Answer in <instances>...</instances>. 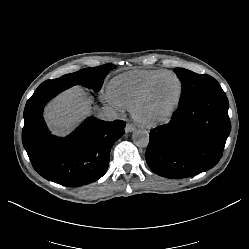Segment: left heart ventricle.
Instances as JSON below:
<instances>
[{"label": "left heart ventricle", "instance_id": "b2bd125f", "mask_svg": "<svg viewBox=\"0 0 249 249\" xmlns=\"http://www.w3.org/2000/svg\"><path fill=\"white\" fill-rule=\"evenodd\" d=\"M179 84L174 77L161 79L142 104L140 113L144 117H156L168 111L176 102Z\"/></svg>", "mask_w": 249, "mask_h": 249}]
</instances>
